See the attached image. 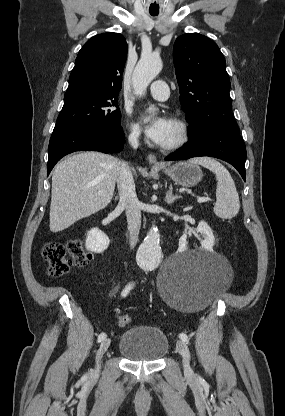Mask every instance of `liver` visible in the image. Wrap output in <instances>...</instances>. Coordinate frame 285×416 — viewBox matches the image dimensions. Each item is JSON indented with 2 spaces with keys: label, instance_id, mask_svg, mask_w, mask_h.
<instances>
[{
  "label": "liver",
  "instance_id": "6515ba94",
  "mask_svg": "<svg viewBox=\"0 0 285 416\" xmlns=\"http://www.w3.org/2000/svg\"><path fill=\"white\" fill-rule=\"evenodd\" d=\"M120 160L100 152H77L56 166L52 176L50 232L104 210L115 190Z\"/></svg>",
  "mask_w": 285,
  "mask_h": 416
}]
</instances>
